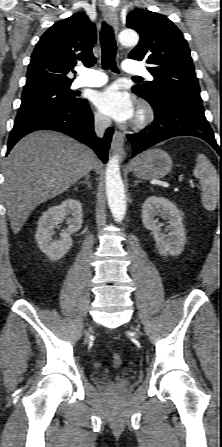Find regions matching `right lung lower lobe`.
Wrapping results in <instances>:
<instances>
[{
    "label": "right lung lower lobe",
    "mask_w": 222,
    "mask_h": 447,
    "mask_svg": "<svg viewBox=\"0 0 222 447\" xmlns=\"http://www.w3.org/2000/svg\"><path fill=\"white\" fill-rule=\"evenodd\" d=\"M93 124L94 118L90 107L82 99L76 104L56 108L43 114L16 119L9 136L7 152L28 133L37 130H55L90 146L99 158L106 163L113 129L108 128L104 138L100 140L95 136Z\"/></svg>",
    "instance_id": "1"
}]
</instances>
